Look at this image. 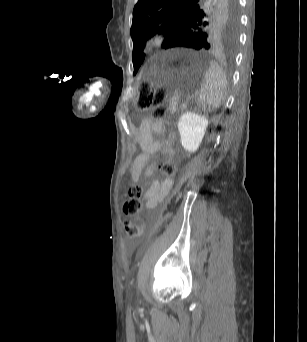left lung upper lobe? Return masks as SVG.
<instances>
[{"label":"left lung upper lobe","mask_w":307,"mask_h":342,"mask_svg":"<svg viewBox=\"0 0 307 342\" xmlns=\"http://www.w3.org/2000/svg\"><path fill=\"white\" fill-rule=\"evenodd\" d=\"M204 1H138L133 10L131 27L134 74L145 58V42L157 33L167 35L163 48L234 52L239 27L237 0Z\"/></svg>","instance_id":"left-lung-upper-lobe-1"}]
</instances>
